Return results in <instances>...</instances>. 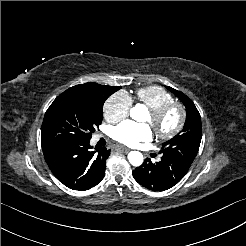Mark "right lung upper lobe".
Returning <instances> with one entry per match:
<instances>
[{
    "label": "right lung upper lobe",
    "instance_id": "right-lung-upper-lobe-1",
    "mask_svg": "<svg viewBox=\"0 0 246 246\" xmlns=\"http://www.w3.org/2000/svg\"><path fill=\"white\" fill-rule=\"evenodd\" d=\"M97 85L98 84H96V83H85V84H81V85H77V86L71 87V88H69L66 91L87 89V90L93 92V94H96V88L97 87L98 88L99 87L103 88L105 91L113 92V93L120 89V86L110 87V86H104V85H99V86H97Z\"/></svg>",
    "mask_w": 246,
    "mask_h": 246
}]
</instances>
